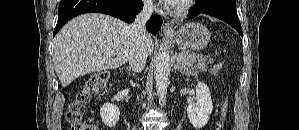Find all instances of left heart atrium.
Instances as JSON below:
<instances>
[{"mask_svg": "<svg viewBox=\"0 0 299 130\" xmlns=\"http://www.w3.org/2000/svg\"><path fill=\"white\" fill-rule=\"evenodd\" d=\"M179 2H180L179 0H166V3L171 4V5H175Z\"/></svg>", "mask_w": 299, "mask_h": 130, "instance_id": "39dd6f15", "label": "left heart atrium"}]
</instances>
